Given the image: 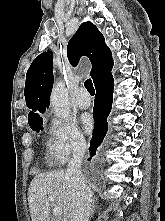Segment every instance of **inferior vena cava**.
Returning a JSON list of instances; mask_svg holds the SVG:
<instances>
[{"mask_svg":"<svg viewBox=\"0 0 165 221\" xmlns=\"http://www.w3.org/2000/svg\"><path fill=\"white\" fill-rule=\"evenodd\" d=\"M87 145L80 140L73 148V157L68 164L66 174L74 191V203L71 221H89L92 206V191L82 176L80 167Z\"/></svg>","mask_w":165,"mask_h":221,"instance_id":"obj_1","label":"inferior vena cava"}]
</instances>
